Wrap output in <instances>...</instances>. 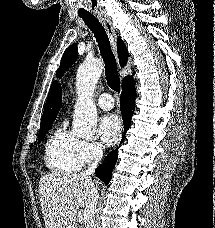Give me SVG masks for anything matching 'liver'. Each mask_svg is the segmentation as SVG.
Segmentation results:
<instances>
[{
	"instance_id": "1",
	"label": "liver",
	"mask_w": 215,
	"mask_h": 228,
	"mask_svg": "<svg viewBox=\"0 0 215 228\" xmlns=\"http://www.w3.org/2000/svg\"><path fill=\"white\" fill-rule=\"evenodd\" d=\"M94 184H97L96 180L82 174L51 172L42 176L39 180V198L46 228H76L79 206L90 214Z\"/></svg>"
}]
</instances>
